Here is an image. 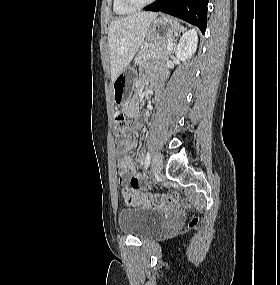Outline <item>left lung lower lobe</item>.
<instances>
[{
  "label": "left lung lower lobe",
  "instance_id": "left-lung-lower-lobe-1",
  "mask_svg": "<svg viewBox=\"0 0 280 285\" xmlns=\"http://www.w3.org/2000/svg\"><path fill=\"white\" fill-rule=\"evenodd\" d=\"M208 0H158L147 6L146 11H161L181 18L197 26L204 34L206 30Z\"/></svg>",
  "mask_w": 280,
  "mask_h": 285
}]
</instances>
